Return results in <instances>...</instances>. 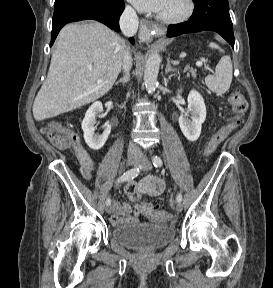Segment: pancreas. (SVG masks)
Segmentation results:
<instances>
[{
	"instance_id": "obj_1",
	"label": "pancreas",
	"mask_w": 273,
	"mask_h": 288,
	"mask_svg": "<svg viewBox=\"0 0 273 288\" xmlns=\"http://www.w3.org/2000/svg\"><path fill=\"white\" fill-rule=\"evenodd\" d=\"M185 71H189V73H191V75H194L196 73L195 70L190 69V68H187ZM189 73H188V76H189Z\"/></svg>"
}]
</instances>
